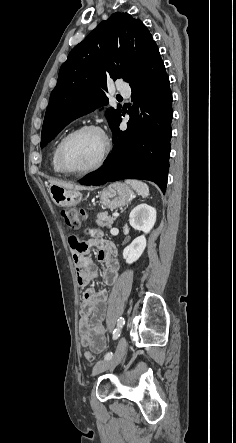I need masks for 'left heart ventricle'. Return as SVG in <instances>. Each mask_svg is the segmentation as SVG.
<instances>
[{"mask_svg": "<svg viewBox=\"0 0 236 443\" xmlns=\"http://www.w3.org/2000/svg\"><path fill=\"white\" fill-rule=\"evenodd\" d=\"M104 147L102 136L94 131L83 132L71 139L64 150L66 165L73 170H84L98 161Z\"/></svg>", "mask_w": 236, "mask_h": 443, "instance_id": "1", "label": "left heart ventricle"}]
</instances>
